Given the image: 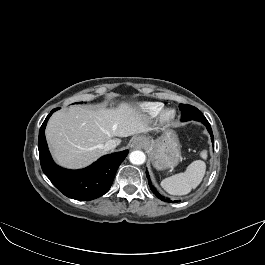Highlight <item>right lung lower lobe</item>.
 Here are the masks:
<instances>
[{
  "mask_svg": "<svg viewBox=\"0 0 265 265\" xmlns=\"http://www.w3.org/2000/svg\"><path fill=\"white\" fill-rule=\"evenodd\" d=\"M53 109L39 131L38 149L44 174L65 196L76 200H93L108 192L119 165L128 150L105 155L91 166L81 170H68L54 163L45 139V127Z\"/></svg>",
  "mask_w": 265,
  "mask_h": 265,
  "instance_id": "1",
  "label": "right lung lower lobe"
}]
</instances>
